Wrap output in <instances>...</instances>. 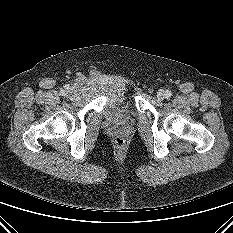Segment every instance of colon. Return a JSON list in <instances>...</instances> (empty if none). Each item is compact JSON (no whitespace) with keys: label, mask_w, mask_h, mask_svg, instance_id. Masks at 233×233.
<instances>
[{"label":"colon","mask_w":233,"mask_h":233,"mask_svg":"<svg viewBox=\"0 0 233 233\" xmlns=\"http://www.w3.org/2000/svg\"><path fill=\"white\" fill-rule=\"evenodd\" d=\"M125 145H126V141H125L124 138H122V137H117V138L115 139V146H116L117 148L122 149V148L125 147Z\"/></svg>","instance_id":"1"}]
</instances>
